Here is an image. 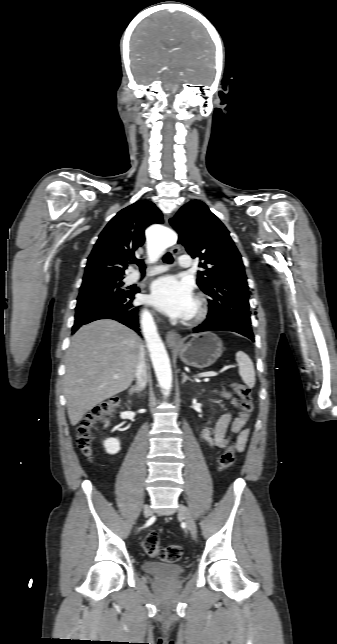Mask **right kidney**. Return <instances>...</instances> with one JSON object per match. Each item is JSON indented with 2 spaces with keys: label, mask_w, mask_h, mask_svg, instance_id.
Here are the masks:
<instances>
[{
  "label": "right kidney",
  "mask_w": 337,
  "mask_h": 644,
  "mask_svg": "<svg viewBox=\"0 0 337 644\" xmlns=\"http://www.w3.org/2000/svg\"><path fill=\"white\" fill-rule=\"evenodd\" d=\"M108 424H106L107 426ZM105 450L109 454H116L120 450V443L115 438H108L103 443Z\"/></svg>",
  "instance_id": "ca27d5eb"
}]
</instances>
